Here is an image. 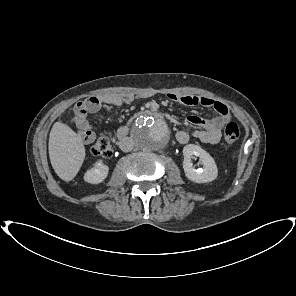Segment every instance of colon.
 <instances>
[{"label":"colon","instance_id":"1","mask_svg":"<svg viewBox=\"0 0 296 296\" xmlns=\"http://www.w3.org/2000/svg\"><path fill=\"white\" fill-rule=\"evenodd\" d=\"M84 111H85L84 108L82 107L78 108L79 113H82ZM239 135H240V130L236 123L230 122L226 125L224 129V138L227 143L229 144L234 143L239 138ZM91 151L93 155L98 157H102V158L111 157L113 153V148L107 135L102 134L92 146Z\"/></svg>","mask_w":296,"mask_h":296}]
</instances>
